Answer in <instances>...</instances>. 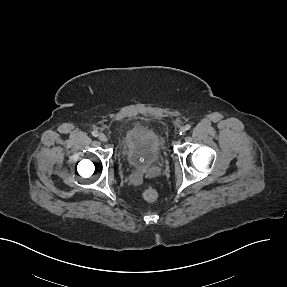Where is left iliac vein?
<instances>
[{
  "instance_id": "4c4485c4",
  "label": "left iliac vein",
  "mask_w": 287,
  "mask_h": 287,
  "mask_svg": "<svg viewBox=\"0 0 287 287\" xmlns=\"http://www.w3.org/2000/svg\"><path fill=\"white\" fill-rule=\"evenodd\" d=\"M179 131H180L181 133H185V131H186V130H185V127H181Z\"/></svg>"
}]
</instances>
